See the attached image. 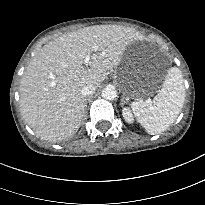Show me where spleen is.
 I'll return each mask as SVG.
<instances>
[{
  "instance_id": "3e777b00",
  "label": "spleen",
  "mask_w": 205,
  "mask_h": 205,
  "mask_svg": "<svg viewBox=\"0 0 205 205\" xmlns=\"http://www.w3.org/2000/svg\"><path fill=\"white\" fill-rule=\"evenodd\" d=\"M182 72L177 67L169 69L162 88L154 99H137L131 107L137 121L150 135L165 131L178 117L185 101Z\"/></svg>"
}]
</instances>
